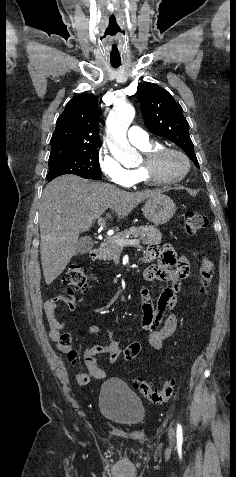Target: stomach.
I'll use <instances>...</instances> for the list:
<instances>
[{"mask_svg":"<svg viewBox=\"0 0 236 477\" xmlns=\"http://www.w3.org/2000/svg\"><path fill=\"white\" fill-rule=\"evenodd\" d=\"M142 211L147 220L158 226L167 223L173 217L176 205L169 196L159 193L147 199Z\"/></svg>","mask_w":236,"mask_h":477,"instance_id":"obj_1","label":"stomach"}]
</instances>
